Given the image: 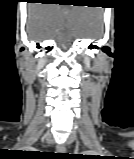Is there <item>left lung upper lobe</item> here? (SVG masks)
Returning <instances> with one entry per match:
<instances>
[{"label":"left lung upper lobe","instance_id":"1","mask_svg":"<svg viewBox=\"0 0 134 159\" xmlns=\"http://www.w3.org/2000/svg\"><path fill=\"white\" fill-rule=\"evenodd\" d=\"M78 159H97V157L96 156H83V155H81L78 157Z\"/></svg>","mask_w":134,"mask_h":159}]
</instances>
